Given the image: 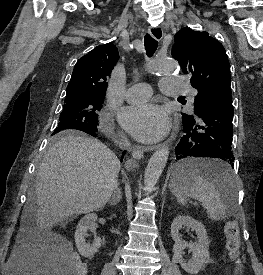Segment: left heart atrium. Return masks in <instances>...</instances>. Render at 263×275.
Here are the masks:
<instances>
[{
    "label": "left heart atrium",
    "mask_w": 263,
    "mask_h": 275,
    "mask_svg": "<svg viewBox=\"0 0 263 275\" xmlns=\"http://www.w3.org/2000/svg\"><path fill=\"white\" fill-rule=\"evenodd\" d=\"M124 128L136 139L154 142L162 139L169 130L166 111L154 103H142L128 107L121 116Z\"/></svg>",
    "instance_id": "1"
}]
</instances>
